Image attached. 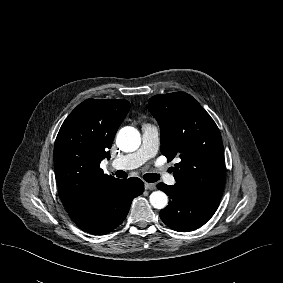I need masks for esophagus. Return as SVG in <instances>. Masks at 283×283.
I'll return each instance as SVG.
<instances>
[{"label": "esophagus", "instance_id": "34e87169", "mask_svg": "<svg viewBox=\"0 0 283 283\" xmlns=\"http://www.w3.org/2000/svg\"><path fill=\"white\" fill-rule=\"evenodd\" d=\"M145 189L146 190H154V189H156V185L154 183L145 182Z\"/></svg>", "mask_w": 283, "mask_h": 283}]
</instances>
